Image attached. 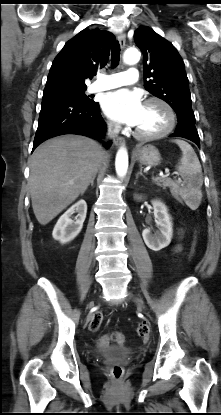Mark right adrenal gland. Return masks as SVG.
I'll use <instances>...</instances> for the list:
<instances>
[{"instance_id":"1","label":"right adrenal gland","mask_w":221,"mask_h":415,"mask_svg":"<svg viewBox=\"0 0 221 415\" xmlns=\"http://www.w3.org/2000/svg\"><path fill=\"white\" fill-rule=\"evenodd\" d=\"M95 177H96V175L95 176H93V178L91 179V181H90V184H91V186L93 187L94 186V180H95Z\"/></svg>"}]
</instances>
